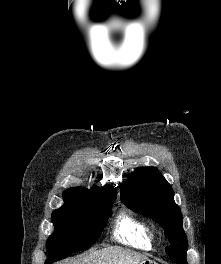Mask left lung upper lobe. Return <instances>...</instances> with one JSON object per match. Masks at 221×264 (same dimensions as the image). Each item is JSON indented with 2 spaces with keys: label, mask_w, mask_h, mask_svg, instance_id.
Returning a JSON list of instances; mask_svg holds the SVG:
<instances>
[{
  "label": "left lung upper lobe",
  "mask_w": 221,
  "mask_h": 264,
  "mask_svg": "<svg viewBox=\"0 0 221 264\" xmlns=\"http://www.w3.org/2000/svg\"><path fill=\"white\" fill-rule=\"evenodd\" d=\"M120 198L131 210L151 217L162 226L170 242L166 253L180 264L187 262L182 214L174 202L171 185L156 168H137L132 172L120 187Z\"/></svg>",
  "instance_id": "obj_1"
}]
</instances>
